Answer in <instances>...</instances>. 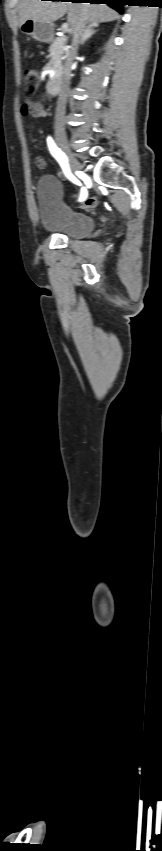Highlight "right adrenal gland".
Returning <instances> with one entry per match:
<instances>
[{
	"label": "right adrenal gland",
	"instance_id": "2a0ac1e0",
	"mask_svg": "<svg viewBox=\"0 0 162 851\" xmlns=\"http://www.w3.org/2000/svg\"><path fill=\"white\" fill-rule=\"evenodd\" d=\"M98 26H99L98 23L87 25V27L85 28V32H84V36H83L81 44H84L89 38H91L97 32V30H94V28H96Z\"/></svg>",
	"mask_w": 162,
	"mask_h": 851
}]
</instances>
